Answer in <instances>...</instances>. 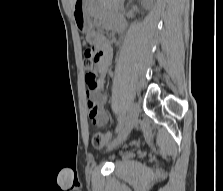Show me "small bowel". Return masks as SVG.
<instances>
[{
    "instance_id": "1",
    "label": "small bowel",
    "mask_w": 223,
    "mask_h": 191,
    "mask_svg": "<svg viewBox=\"0 0 223 191\" xmlns=\"http://www.w3.org/2000/svg\"><path fill=\"white\" fill-rule=\"evenodd\" d=\"M125 23L122 20H117L114 25L116 33H121L124 30ZM90 39L93 40L99 48V60L97 63V71L99 78L96 87H90L87 91V107L91 121L97 126L107 124L109 115L105 110V96L103 90L105 87V75L107 74L112 62V47L104 35L99 32H92Z\"/></svg>"
}]
</instances>
